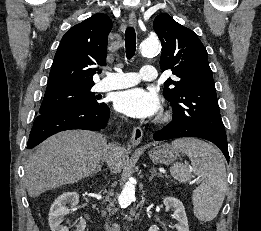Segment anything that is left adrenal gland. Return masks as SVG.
Here are the masks:
<instances>
[{
  "label": "left adrenal gland",
  "instance_id": "1",
  "mask_svg": "<svg viewBox=\"0 0 261 231\" xmlns=\"http://www.w3.org/2000/svg\"><path fill=\"white\" fill-rule=\"evenodd\" d=\"M155 176L162 177L161 173H158L155 168L151 169V176L149 177V182L153 180Z\"/></svg>",
  "mask_w": 261,
  "mask_h": 231
}]
</instances>
